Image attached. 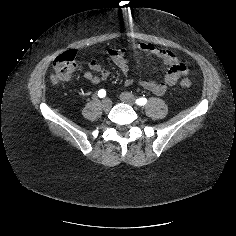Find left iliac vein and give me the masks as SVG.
I'll use <instances>...</instances> for the list:
<instances>
[{
    "label": "left iliac vein",
    "mask_w": 236,
    "mask_h": 236,
    "mask_svg": "<svg viewBox=\"0 0 236 236\" xmlns=\"http://www.w3.org/2000/svg\"><path fill=\"white\" fill-rule=\"evenodd\" d=\"M120 99L121 101L129 104V105H134L135 104V98L131 93L128 92H123L120 94Z\"/></svg>",
    "instance_id": "left-iliac-vein-1"
}]
</instances>
